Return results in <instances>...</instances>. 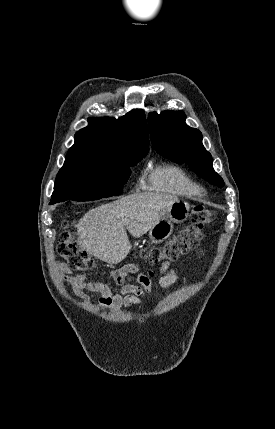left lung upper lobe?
Listing matches in <instances>:
<instances>
[{"instance_id": "left-lung-upper-lobe-1", "label": "left lung upper lobe", "mask_w": 275, "mask_h": 429, "mask_svg": "<svg viewBox=\"0 0 275 429\" xmlns=\"http://www.w3.org/2000/svg\"><path fill=\"white\" fill-rule=\"evenodd\" d=\"M181 111H165L158 115L149 113L151 141L156 151L176 163H187L209 183L223 187V179L214 171L212 156L202 144V134L185 123Z\"/></svg>"}]
</instances>
